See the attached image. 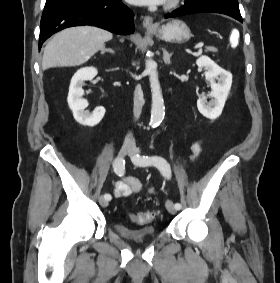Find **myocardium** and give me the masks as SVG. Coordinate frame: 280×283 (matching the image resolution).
Returning <instances> with one entry per match:
<instances>
[{
  "mask_svg": "<svg viewBox=\"0 0 280 283\" xmlns=\"http://www.w3.org/2000/svg\"><path fill=\"white\" fill-rule=\"evenodd\" d=\"M181 0H166L164 4L165 9H174L180 4Z\"/></svg>",
  "mask_w": 280,
  "mask_h": 283,
  "instance_id": "f54148a6",
  "label": "myocardium"
}]
</instances>
